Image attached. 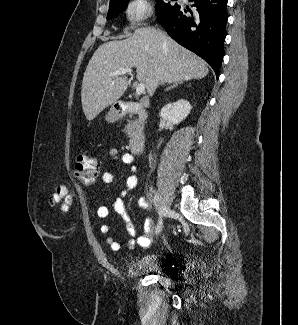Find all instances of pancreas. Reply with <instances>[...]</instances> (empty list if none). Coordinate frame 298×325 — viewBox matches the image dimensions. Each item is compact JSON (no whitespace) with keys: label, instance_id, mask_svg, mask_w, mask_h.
<instances>
[{"label":"pancreas","instance_id":"pancreas-1","mask_svg":"<svg viewBox=\"0 0 298 325\" xmlns=\"http://www.w3.org/2000/svg\"><path fill=\"white\" fill-rule=\"evenodd\" d=\"M144 120H146V112H140L138 120H129L128 124L125 126L126 134L131 136L132 132L139 128V130H143Z\"/></svg>","mask_w":298,"mask_h":325}]
</instances>
